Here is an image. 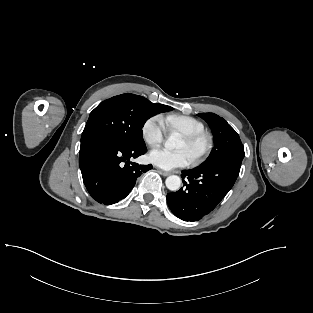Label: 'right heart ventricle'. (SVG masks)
I'll return each instance as SVG.
<instances>
[{
  "label": "right heart ventricle",
  "instance_id": "right-heart-ventricle-1",
  "mask_svg": "<svg viewBox=\"0 0 313 313\" xmlns=\"http://www.w3.org/2000/svg\"><path fill=\"white\" fill-rule=\"evenodd\" d=\"M165 128L170 133L188 135L204 131L205 126L199 119L183 114H169L162 117Z\"/></svg>",
  "mask_w": 313,
  "mask_h": 313
}]
</instances>
